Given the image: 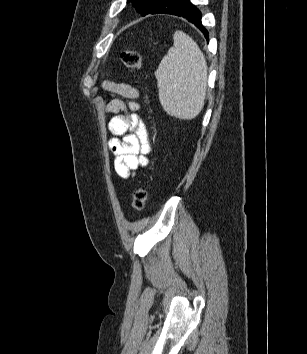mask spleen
<instances>
[{
  "mask_svg": "<svg viewBox=\"0 0 307 354\" xmlns=\"http://www.w3.org/2000/svg\"><path fill=\"white\" fill-rule=\"evenodd\" d=\"M173 40L155 71L159 100L169 115L193 119L205 103L207 63L196 42L184 32H175Z\"/></svg>",
  "mask_w": 307,
  "mask_h": 354,
  "instance_id": "spleen-1",
  "label": "spleen"
}]
</instances>
